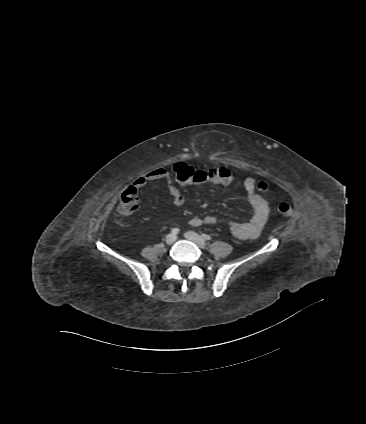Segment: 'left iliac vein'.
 <instances>
[{"label":"left iliac vein","mask_w":366,"mask_h":424,"mask_svg":"<svg viewBox=\"0 0 366 424\" xmlns=\"http://www.w3.org/2000/svg\"><path fill=\"white\" fill-rule=\"evenodd\" d=\"M185 238L194 242L199 248L204 249L206 247L205 240L197 233L189 231L184 234Z\"/></svg>","instance_id":"obj_1"}]
</instances>
